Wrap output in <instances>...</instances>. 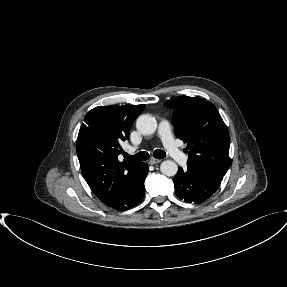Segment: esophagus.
Segmentation results:
<instances>
[{
	"label": "esophagus",
	"instance_id": "34e87169",
	"mask_svg": "<svg viewBox=\"0 0 287 287\" xmlns=\"http://www.w3.org/2000/svg\"><path fill=\"white\" fill-rule=\"evenodd\" d=\"M160 162H161L160 159H155V158H152V159L149 160V164L150 165L158 164Z\"/></svg>",
	"mask_w": 287,
	"mask_h": 287
}]
</instances>
